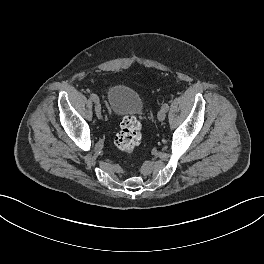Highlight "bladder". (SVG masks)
<instances>
[{
    "label": "bladder",
    "instance_id": "31cf9c89",
    "mask_svg": "<svg viewBox=\"0 0 264 264\" xmlns=\"http://www.w3.org/2000/svg\"><path fill=\"white\" fill-rule=\"evenodd\" d=\"M107 101L116 115H135L143 110V100L139 93L123 84H114L109 87Z\"/></svg>",
    "mask_w": 264,
    "mask_h": 264
}]
</instances>
